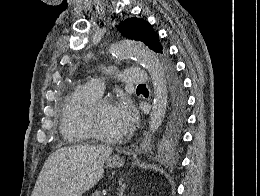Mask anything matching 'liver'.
Returning a JSON list of instances; mask_svg holds the SVG:
<instances>
[{
	"instance_id": "6515ba94",
	"label": "liver",
	"mask_w": 260,
	"mask_h": 196,
	"mask_svg": "<svg viewBox=\"0 0 260 196\" xmlns=\"http://www.w3.org/2000/svg\"><path fill=\"white\" fill-rule=\"evenodd\" d=\"M111 146H69L46 160L31 196H82L104 174Z\"/></svg>"
}]
</instances>
